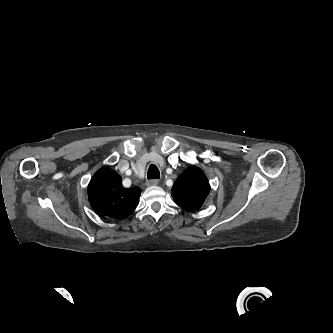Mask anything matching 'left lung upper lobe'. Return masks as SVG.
<instances>
[{
  "label": "left lung upper lobe",
  "instance_id": "5c2ea615",
  "mask_svg": "<svg viewBox=\"0 0 333 333\" xmlns=\"http://www.w3.org/2000/svg\"><path fill=\"white\" fill-rule=\"evenodd\" d=\"M209 191L210 185L204 172L191 165L175 181L172 196L177 205L195 211L203 205Z\"/></svg>",
  "mask_w": 333,
  "mask_h": 333
}]
</instances>
